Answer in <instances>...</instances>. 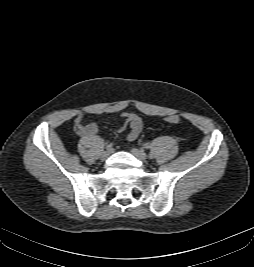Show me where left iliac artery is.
<instances>
[{"mask_svg": "<svg viewBox=\"0 0 254 267\" xmlns=\"http://www.w3.org/2000/svg\"><path fill=\"white\" fill-rule=\"evenodd\" d=\"M142 146L145 149H149L151 147L149 143H144Z\"/></svg>", "mask_w": 254, "mask_h": 267, "instance_id": "44dca946", "label": "left iliac artery"}]
</instances>
